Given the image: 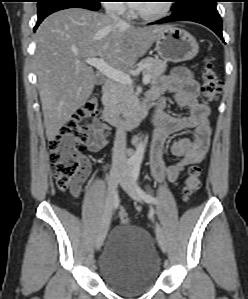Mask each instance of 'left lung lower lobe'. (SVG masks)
Here are the masks:
<instances>
[{"mask_svg":"<svg viewBox=\"0 0 248 299\" xmlns=\"http://www.w3.org/2000/svg\"><path fill=\"white\" fill-rule=\"evenodd\" d=\"M218 0H193L186 6H180V0L172 7L171 16L158 20L155 23H167L176 20L193 21L203 24L213 30L224 41L222 36V21L216 9Z\"/></svg>","mask_w":248,"mask_h":299,"instance_id":"0a47b994","label":"left lung lower lobe"}]
</instances>
